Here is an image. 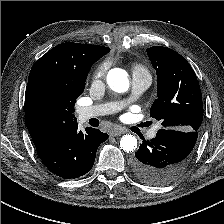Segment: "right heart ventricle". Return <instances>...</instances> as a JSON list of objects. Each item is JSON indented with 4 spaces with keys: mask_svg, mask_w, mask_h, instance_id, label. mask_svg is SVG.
Returning a JSON list of instances; mask_svg holds the SVG:
<instances>
[{
    "mask_svg": "<svg viewBox=\"0 0 224 224\" xmlns=\"http://www.w3.org/2000/svg\"><path fill=\"white\" fill-rule=\"evenodd\" d=\"M132 72L133 74H138V73H147V70L144 66H142L141 64H134L132 67Z\"/></svg>",
    "mask_w": 224,
    "mask_h": 224,
    "instance_id": "1",
    "label": "right heart ventricle"
}]
</instances>
